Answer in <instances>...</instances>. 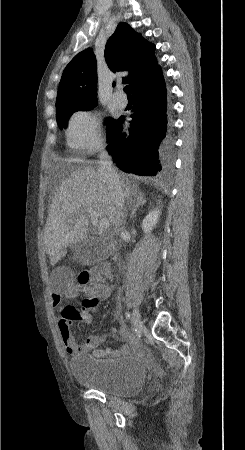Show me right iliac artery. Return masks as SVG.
<instances>
[{
	"label": "right iliac artery",
	"instance_id": "right-iliac-artery-1",
	"mask_svg": "<svg viewBox=\"0 0 245 450\" xmlns=\"http://www.w3.org/2000/svg\"><path fill=\"white\" fill-rule=\"evenodd\" d=\"M125 315H126V318L129 320L130 319V313L126 312Z\"/></svg>",
	"mask_w": 245,
	"mask_h": 450
}]
</instances>
